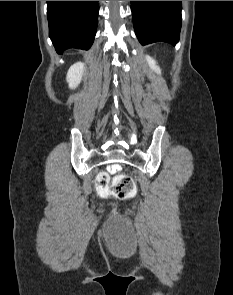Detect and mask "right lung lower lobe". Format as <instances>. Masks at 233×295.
<instances>
[{"mask_svg": "<svg viewBox=\"0 0 233 295\" xmlns=\"http://www.w3.org/2000/svg\"><path fill=\"white\" fill-rule=\"evenodd\" d=\"M98 11V1H47L49 36L57 53L91 47Z\"/></svg>", "mask_w": 233, "mask_h": 295, "instance_id": "1", "label": "right lung lower lobe"}]
</instances>
